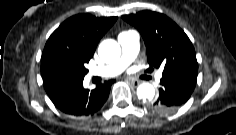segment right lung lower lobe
Returning <instances> with one entry per match:
<instances>
[{"label": "right lung lower lobe", "instance_id": "right-lung-lower-lobe-1", "mask_svg": "<svg viewBox=\"0 0 236 135\" xmlns=\"http://www.w3.org/2000/svg\"><path fill=\"white\" fill-rule=\"evenodd\" d=\"M84 76L57 70L42 72L49 98L63 113L74 117L92 116L106 102L115 81H105L89 90L83 87Z\"/></svg>", "mask_w": 236, "mask_h": 135}]
</instances>
